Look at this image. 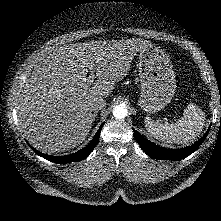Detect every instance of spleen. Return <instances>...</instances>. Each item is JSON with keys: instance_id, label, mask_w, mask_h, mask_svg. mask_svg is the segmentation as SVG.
Here are the masks:
<instances>
[{"instance_id": "3e777b00", "label": "spleen", "mask_w": 221, "mask_h": 221, "mask_svg": "<svg viewBox=\"0 0 221 221\" xmlns=\"http://www.w3.org/2000/svg\"><path fill=\"white\" fill-rule=\"evenodd\" d=\"M205 122L204 112L195 104H189L177 123L157 124L146 117L145 127L156 139L168 144L187 145L195 141Z\"/></svg>"}]
</instances>
